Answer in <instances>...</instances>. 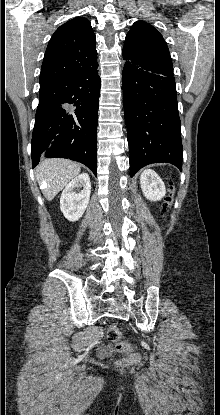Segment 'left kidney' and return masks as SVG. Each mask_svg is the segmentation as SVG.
Segmentation results:
<instances>
[{
	"mask_svg": "<svg viewBox=\"0 0 220 415\" xmlns=\"http://www.w3.org/2000/svg\"><path fill=\"white\" fill-rule=\"evenodd\" d=\"M140 185L144 196L150 201L161 200L166 193L164 182L151 169H146L140 176Z\"/></svg>",
	"mask_w": 220,
	"mask_h": 415,
	"instance_id": "1",
	"label": "left kidney"
}]
</instances>
